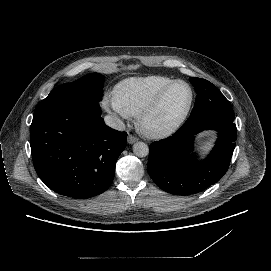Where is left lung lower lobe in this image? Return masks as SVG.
I'll list each match as a JSON object with an SVG mask.
<instances>
[{
  "instance_id": "1",
  "label": "left lung lower lobe",
  "mask_w": 271,
  "mask_h": 271,
  "mask_svg": "<svg viewBox=\"0 0 271 271\" xmlns=\"http://www.w3.org/2000/svg\"><path fill=\"white\" fill-rule=\"evenodd\" d=\"M234 114L202 113L189 117L172 136L150 144L148 173L162 190L190 195L215 184L226 173L237 137ZM216 130L219 138L210 155L198 161L192 154L195 135Z\"/></svg>"
}]
</instances>
